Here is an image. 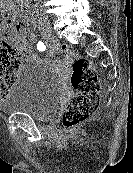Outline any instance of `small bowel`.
<instances>
[{
	"label": "small bowel",
	"instance_id": "small-bowel-1",
	"mask_svg": "<svg viewBox=\"0 0 133 173\" xmlns=\"http://www.w3.org/2000/svg\"><path fill=\"white\" fill-rule=\"evenodd\" d=\"M30 22L31 23H34V21L32 20V18H30ZM28 36L29 39L33 40L35 35L33 32L31 31H28L26 33V35H24L20 41H19V44H18V50L20 51V53L25 56L26 58L30 59L33 57V51H32V48L30 47V45L26 42L25 40V37ZM55 48L58 49V45L55 44Z\"/></svg>",
	"mask_w": 133,
	"mask_h": 173
}]
</instances>
